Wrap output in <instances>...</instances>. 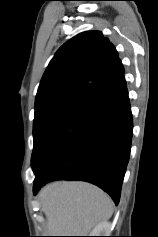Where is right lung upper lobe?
Masks as SVG:
<instances>
[{
  "label": "right lung upper lobe",
  "mask_w": 158,
  "mask_h": 237,
  "mask_svg": "<svg viewBox=\"0 0 158 237\" xmlns=\"http://www.w3.org/2000/svg\"><path fill=\"white\" fill-rule=\"evenodd\" d=\"M124 76L115 47L100 31L80 33L59 48L38 88L35 104L69 97L86 102Z\"/></svg>",
  "instance_id": "cb5924a9"
}]
</instances>
